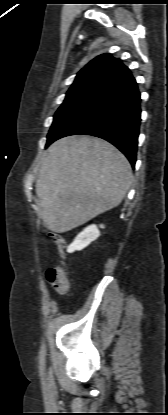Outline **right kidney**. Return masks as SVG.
<instances>
[{"label":"right kidney","instance_id":"ca27d5eb","mask_svg":"<svg viewBox=\"0 0 168 415\" xmlns=\"http://www.w3.org/2000/svg\"><path fill=\"white\" fill-rule=\"evenodd\" d=\"M104 228L103 225H100ZM100 236V231L96 225H90L79 233L74 241L68 246L67 252L73 253L74 251H80L87 247L92 241L96 240Z\"/></svg>","mask_w":168,"mask_h":415}]
</instances>
